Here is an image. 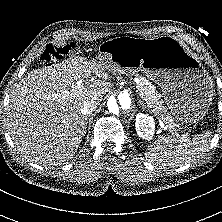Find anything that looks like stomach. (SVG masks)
<instances>
[{
    "label": "stomach",
    "instance_id": "0dacf381",
    "mask_svg": "<svg viewBox=\"0 0 222 222\" xmlns=\"http://www.w3.org/2000/svg\"><path fill=\"white\" fill-rule=\"evenodd\" d=\"M94 61L126 74L142 69L161 87L174 117L185 124L200 121L212 104V78L177 38L121 36L109 39L100 44Z\"/></svg>",
    "mask_w": 222,
    "mask_h": 222
}]
</instances>
